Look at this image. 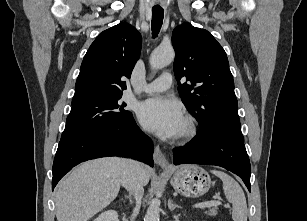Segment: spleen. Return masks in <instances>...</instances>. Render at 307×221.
<instances>
[{"label": "spleen", "instance_id": "1", "mask_svg": "<svg viewBox=\"0 0 307 221\" xmlns=\"http://www.w3.org/2000/svg\"><path fill=\"white\" fill-rule=\"evenodd\" d=\"M211 173L219 177L223 182V190L226 199L232 204L233 221H247V203L244 192L238 182L227 173L211 170Z\"/></svg>", "mask_w": 307, "mask_h": 221}]
</instances>
